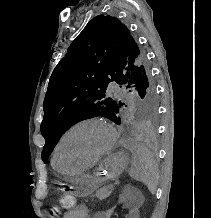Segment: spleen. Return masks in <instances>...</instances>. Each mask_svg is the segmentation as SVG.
Wrapping results in <instances>:
<instances>
[{"instance_id": "obj_1", "label": "spleen", "mask_w": 211, "mask_h": 218, "mask_svg": "<svg viewBox=\"0 0 211 218\" xmlns=\"http://www.w3.org/2000/svg\"><path fill=\"white\" fill-rule=\"evenodd\" d=\"M129 174L137 182H143L151 194H155L158 186L159 170L154 156L149 150H146V148L132 150Z\"/></svg>"}]
</instances>
